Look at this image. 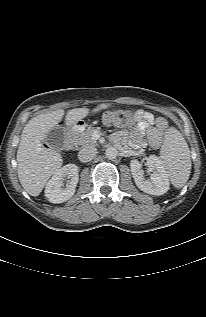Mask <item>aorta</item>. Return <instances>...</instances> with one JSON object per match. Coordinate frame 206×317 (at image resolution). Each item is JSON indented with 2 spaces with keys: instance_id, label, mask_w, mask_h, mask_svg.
<instances>
[{
  "instance_id": "obj_1",
  "label": "aorta",
  "mask_w": 206,
  "mask_h": 317,
  "mask_svg": "<svg viewBox=\"0 0 206 317\" xmlns=\"http://www.w3.org/2000/svg\"><path fill=\"white\" fill-rule=\"evenodd\" d=\"M106 158L112 160L115 159L118 155V151L114 147H108L105 151Z\"/></svg>"
}]
</instances>
